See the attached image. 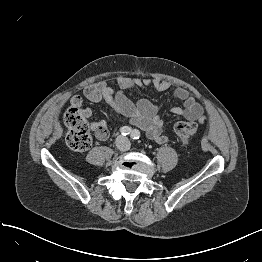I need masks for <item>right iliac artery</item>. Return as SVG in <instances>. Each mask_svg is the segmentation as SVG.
I'll return each instance as SVG.
<instances>
[{
	"label": "right iliac artery",
	"mask_w": 262,
	"mask_h": 262,
	"mask_svg": "<svg viewBox=\"0 0 262 262\" xmlns=\"http://www.w3.org/2000/svg\"><path fill=\"white\" fill-rule=\"evenodd\" d=\"M120 132H121V134H122L123 136H126V135L131 134L132 130H131V128L128 127V126H123V127L120 128Z\"/></svg>",
	"instance_id": "right-iliac-artery-1"
}]
</instances>
